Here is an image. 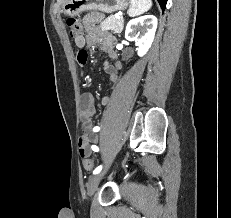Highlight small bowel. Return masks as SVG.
Masks as SVG:
<instances>
[{
  "label": "small bowel",
  "instance_id": "1",
  "mask_svg": "<svg viewBox=\"0 0 231 218\" xmlns=\"http://www.w3.org/2000/svg\"><path fill=\"white\" fill-rule=\"evenodd\" d=\"M102 18L99 12L88 13L83 18V25L87 32L85 37L75 39V45L79 48L93 47L99 45L101 50L109 55L111 58L116 57L113 49L114 38L106 32H101L96 28V23ZM78 65H87L88 59L85 56H80L77 59ZM120 65H112L109 62L104 63V70L110 76V81L115 84L118 79ZM110 101L109 96H104L101 100L102 105H108ZM96 112V105L93 96L89 92H84L80 98V113L81 121L85 131L89 132L93 129L92 117ZM91 140L87 136H83L79 140V152L81 156H87L91 151Z\"/></svg>",
  "mask_w": 231,
  "mask_h": 218
}]
</instances>
